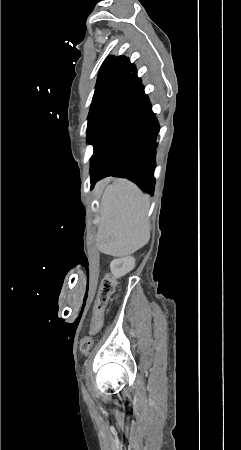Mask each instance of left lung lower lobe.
<instances>
[{
  "mask_svg": "<svg viewBox=\"0 0 241 450\" xmlns=\"http://www.w3.org/2000/svg\"><path fill=\"white\" fill-rule=\"evenodd\" d=\"M124 70L123 87L88 131L94 146L91 186L102 178L116 176L135 182L153 195L159 123L134 64L129 61Z\"/></svg>",
  "mask_w": 241,
  "mask_h": 450,
  "instance_id": "left-lung-lower-lobe-1",
  "label": "left lung lower lobe"
}]
</instances>
